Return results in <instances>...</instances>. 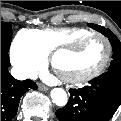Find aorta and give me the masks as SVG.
Returning <instances> with one entry per match:
<instances>
[{"instance_id":"1","label":"aorta","mask_w":121,"mask_h":121,"mask_svg":"<svg viewBox=\"0 0 121 121\" xmlns=\"http://www.w3.org/2000/svg\"><path fill=\"white\" fill-rule=\"evenodd\" d=\"M51 98L57 106H65L68 98L66 92L62 88H55L51 91Z\"/></svg>"}]
</instances>
